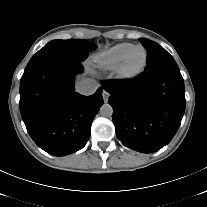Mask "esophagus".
Segmentation results:
<instances>
[{"instance_id": "obj_1", "label": "esophagus", "mask_w": 207, "mask_h": 207, "mask_svg": "<svg viewBox=\"0 0 207 207\" xmlns=\"http://www.w3.org/2000/svg\"><path fill=\"white\" fill-rule=\"evenodd\" d=\"M109 96L110 95H109V93L107 91L104 90L102 92V97H103V100H104L105 103L108 101Z\"/></svg>"}]
</instances>
